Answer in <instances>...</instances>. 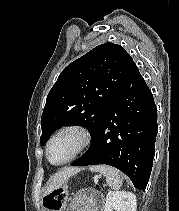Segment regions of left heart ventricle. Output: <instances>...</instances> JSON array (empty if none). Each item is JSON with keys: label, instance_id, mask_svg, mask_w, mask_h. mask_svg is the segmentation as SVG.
<instances>
[{"label": "left heart ventricle", "instance_id": "left-heart-ventricle-1", "mask_svg": "<svg viewBox=\"0 0 179 211\" xmlns=\"http://www.w3.org/2000/svg\"><path fill=\"white\" fill-rule=\"evenodd\" d=\"M78 138L73 133H65L57 137L49 148V158L53 163L66 160L74 152Z\"/></svg>", "mask_w": 179, "mask_h": 211}]
</instances>
